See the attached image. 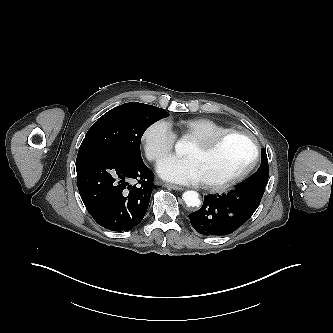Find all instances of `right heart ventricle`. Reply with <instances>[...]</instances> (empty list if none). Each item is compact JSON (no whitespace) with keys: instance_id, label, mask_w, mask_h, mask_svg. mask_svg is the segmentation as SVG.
Returning a JSON list of instances; mask_svg holds the SVG:
<instances>
[{"instance_id":"obj_1","label":"right heart ventricle","mask_w":333,"mask_h":333,"mask_svg":"<svg viewBox=\"0 0 333 333\" xmlns=\"http://www.w3.org/2000/svg\"><path fill=\"white\" fill-rule=\"evenodd\" d=\"M178 132L190 140L209 138L230 130L209 118L182 119L175 123Z\"/></svg>"}]
</instances>
